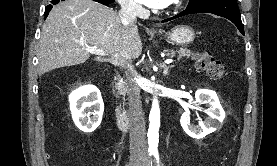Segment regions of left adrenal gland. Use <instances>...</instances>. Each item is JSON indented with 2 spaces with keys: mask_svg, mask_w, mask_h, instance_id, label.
Here are the masks:
<instances>
[{
  "mask_svg": "<svg viewBox=\"0 0 277 166\" xmlns=\"http://www.w3.org/2000/svg\"><path fill=\"white\" fill-rule=\"evenodd\" d=\"M173 66L172 65H166V64H163L162 65V68H163V75L166 76L168 74V70L170 68H172Z\"/></svg>",
  "mask_w": 277,
  "mask_h": 166,
  "instance_id": "a2214340",
  "label": "left adrenal gland"
}]
</instances>
